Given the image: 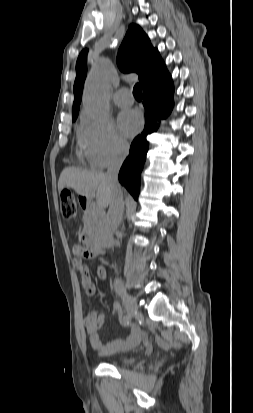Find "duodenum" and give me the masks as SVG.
I'll use <instances>...</instances> for the list:
<instances>
[{"instance_id":"duodenum-1","label":"duodenum","mask_w":253,"mask_h":413,"mask_svg":"<svg viewBox=\"0 0 253 413\" xmlns=\"http://www.w3.org/2000/svg\"><path fill=\"white\" fill-rule=\"evenodd\" d=\"M81 206L86 213L91 210V203L87 199H83L81 201ZM81 238L86 245V251L91 257H96L104 254V249L100 244L99 238L94 228H85L82 231Z\"/></svg>"}]
</instances>
